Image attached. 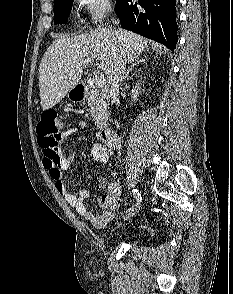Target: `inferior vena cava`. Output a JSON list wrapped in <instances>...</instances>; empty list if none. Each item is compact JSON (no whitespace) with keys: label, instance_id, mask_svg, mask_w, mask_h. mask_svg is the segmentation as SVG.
<instances>
[{"label":"inferior vena cava","instance_id":"602c4592","mask_svg":"<svg viewBox=\"0 0 233 294\" xmlns=\"http://www.w3.org/2000/svg\"><path fill=\"white\" fill-rule=\"evenodd\" d=\"M126 67V57L124 55H120L115 62L112 77H111V87H110V98L112 104L118 102L119 95V87L123 78V74L125 72Z\"/></svg>","mask_w":233,"mask_h":294}]
</instances>
